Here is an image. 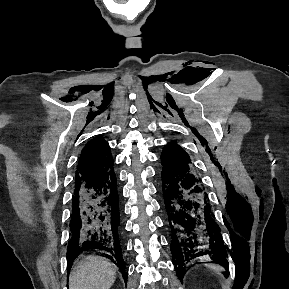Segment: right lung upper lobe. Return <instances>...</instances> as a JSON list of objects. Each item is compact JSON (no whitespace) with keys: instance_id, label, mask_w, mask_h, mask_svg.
Returning a JSON list of instances; mask_svg holds the SVG:
<instances>
[{"instance_id":"cb5924a9","label":"right lung upper lobe","mask_w":289,"mask_h":289,"mask_svg":"<svg viewBox=\"0 0 289 289\" xmlns=\"http://www.w3.org/2000/svg\"><path fill=\"white\" fill-rule=\"evenodd\" d=\"M110 170H113L110 148L103 138H94L82 149L75 185L93 180Z\"/></svg>"}]
</instances>
